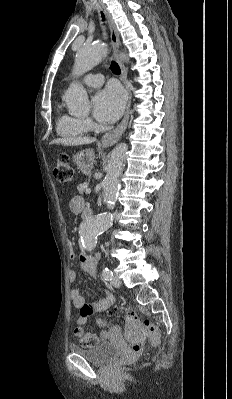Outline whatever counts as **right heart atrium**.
Instances as JSON below:
<instances>
[{
  "label": "right heart atrium",
  "mask_w": 232,
  "mask_h": 399,
  "mask_svg": "<svg viewBox=\"0 0 232 399\" xmlns=\"http://www.w3.org/2000/svg\"><path fill=\"white\" fill-rule=\"evenodd\" d=\"M86 121V123H87V125L89 126V127H92V123H91V121H89V120H85Z\"/></svg>",
  "instance_id": "d8ad5b80"
}]
</instances>
